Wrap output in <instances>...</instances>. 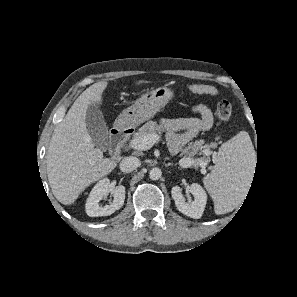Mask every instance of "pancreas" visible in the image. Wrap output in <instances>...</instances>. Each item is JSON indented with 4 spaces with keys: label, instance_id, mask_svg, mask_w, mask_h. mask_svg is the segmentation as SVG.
<instances>
[{
    "label": "pancreas",
    "instance_id": "pancreas-1",
    "mask_svg": "<svg viewBox=\"0 0 297 297\" xmlns=\"http://www.w3.org/2000/svg\"><path fill=\"white\" fill-rule=\"evenodd\" d=\"M161 131V126H159L156 121H149L138 130L135 137H141L147 134H160ZM206 147L208 146H204L203 148ZM193 154L194 152L188 153L190 157H192Z\"/></svg>",
    "mask_w": 297,
    "mask_h": 297
}]
</instances>
